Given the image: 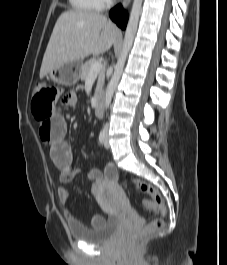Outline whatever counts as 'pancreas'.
<instances>
[{
    "label": "pancreas",
    "mask_w": 227,
    "mask_h": 265,
    "mask_svg": "<svg viewBox=\"0 0 227 265\" xmlns=\"http://www.w3.org/2000/svg\"><path fill=\"white\" fill-rule=\"evenodd\" d=\"M96 62H99V61L97 58L94 57V58L89 59L88 61L85 62L84 65H82L81 73H80L81 81H84L87 79V77L89 76L90 67ZM104 80H105L104 71H100L98 73V81H97V86H96V91H95L96 95L102 90L103 85H104Z\"/></svg>",
    "instance_id": "1"
}]
</instances>
